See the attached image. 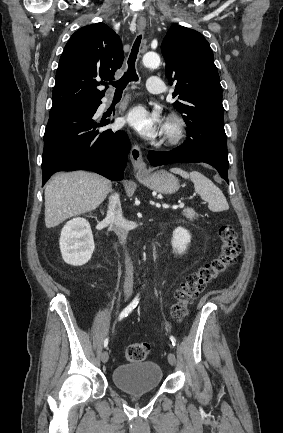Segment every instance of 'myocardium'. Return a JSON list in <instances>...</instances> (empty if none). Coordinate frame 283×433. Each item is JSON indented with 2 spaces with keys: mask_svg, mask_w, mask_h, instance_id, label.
<instances>
[{
  "mask_svg": "<svg viewBox=\"0 0 283 433\" xmlns=\"http://www.w3.org/2000/svg\"><path fill=\"white\" fill-rule=\"evenodd\" d=\"M189 130L187 119L176 113L169 114L165 119L166 151L174 150L186 138Z\"/></svg>",
  "mask_w": 283,
  "mask_h": 433,
  "instance_id": "1",
  "label": "myocardium"
}]
</instances>
